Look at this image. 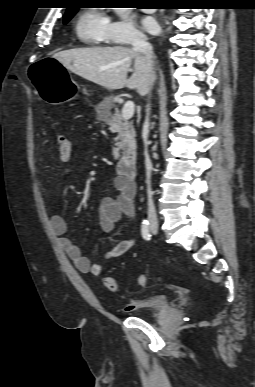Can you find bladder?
<instances>
[{
    "instance_id": "1",
    "label": "bladder",
    "mask_w": 255,
    "mask_h": 387,
    "mask_svg": "<svg viewBox=\"0 0 255 387\" xmlns=\"http://www.w3.org/2000/svg\"><path fill=\"white\" fill-rule=\"evenodd\" d=\"M170 307L165 294H151L138 301L137 306L130 312L139 317L155 314Z\"/></svg>"
}]
</instances>
